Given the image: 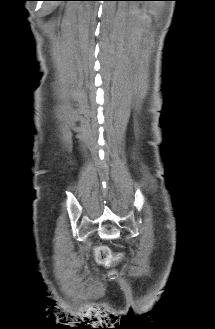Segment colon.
<instances>
[{"label":"colon","mask_w":215,"mask_h":329,"mask_svg":"<svg viewBox=\"0 0 215 329\" xmlns=\"http://www.w3.org/2000/svg\"><path fill=\"white\" fill-rule=\"evenodd\" d=\"M95 258L98 263L105 264L109 262L111 258L110 251L105 246H99L95 250Z\"/></svg>","instance_id":"obj_1"}]
</instances>
